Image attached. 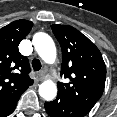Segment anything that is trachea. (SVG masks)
Masks as SVG:
<instances>
[{
  "instance_id": "trachea-1",
  "label": "trachea",
  "mask_w": 117,
  "mask_h": 117,
  "mask_svg": "<svg viewBox=\"0 0 117 117\" xmlns=\"http://www.w3.org/2000/svg\"><path fill=\"white\" fill-rule=\"evenodd\" d=\"M41 62L38 59H34L32 61V67L34 69V71H39L41 69Z\"/></svg>"
}]
</instances>
